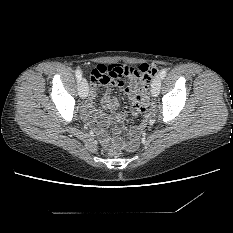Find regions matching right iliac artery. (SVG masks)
Returning <instances> with one entry per match:
<instances>
[{"label": "right iliac artery", "mask_w": 233, "mask_h": 233, "mask_svg": "<svg viewBox=\"0 0 233 233\" xmlns=\"http://www.w3.org/2000/svg\"><path fill=\"white\" fill-rule=\"evenodd\" d=\"M75 76H76L77 81L80 82V81H81V78H82V73H81V71H80V70H76V71H75Z\"/></svg>", "instance_id": "obj_1"}]
</instances>
